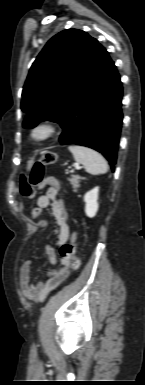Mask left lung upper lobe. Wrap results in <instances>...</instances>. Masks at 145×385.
Listing matches in <instances>:
<instances>
[{"instance_id": "5c2ea615", "label": "left lung upper lobe", "mask_w": 145, "mask_h": 385, "mask_svg": "<svg viewBox=\"0 0 145 385\" xmlns=\"http://www.w3.org/2000/svg\"><path fill=\"white\" fill-rule=\"evenodd\" d=\"M98 47L96 39L77 29L64 30L48 41L23 87L21 109L28 114L25 128L44 120L64 124Z\"/></svg>"}]
</instances>
